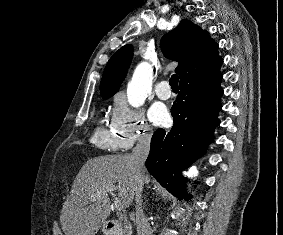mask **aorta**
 Here are the masks:
<instances>
[{"instance_id": "obj_1", "label": "aorta", "mask_w": 283, "mask_h": 235, "mask_svg": "<svg viewBox=\"0 0 283 235\" xmlns=\"http://www.w3.org/2000/svg\"><path fill=\"white\" fill-rule=\"evenodd\" d=\"M153 72L151 65L147 62L140 63L127 86L128 102L133 107L141 106L148 93L151 91Z\"/></svg>"}]
</instances>
